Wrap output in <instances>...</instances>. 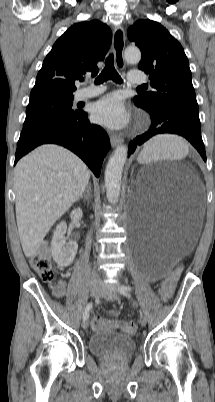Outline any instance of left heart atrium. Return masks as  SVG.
<instances>
[{
	"label": "left heart atrium",
	"mask_w": 215,
	"mask_h": 402,
	"mask_svg": "<svg viewBox=\"0 0 215 402\" xmlns=\"http://www.w3.org/2000/svg\"><path fill=\"white\" fill-rule=\"evenodd\" d=\"M92 118L101 125L119 129L128 123L129 114L121 99L117 95L110 94L94 104Z\"/></svg>",
	"instance_id": "obj_1"
}]
</instances>
